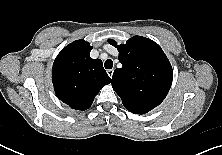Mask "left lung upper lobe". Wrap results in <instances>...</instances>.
I'll return each mask as SVG.
<instances>
[{
	"mask_svg": "<svg viewBox=\"0 0 222 155\" xmlns=\"http://www.w3.org/2000/svg\"><path fill=\"white\" fill-rule=\"evenodd\" d=\"M108 42L119 51L122 68L112 76V87L125 108L135 114H145L160 105L168 94L173 78L171 64L154 41L134 36L126 44Z\"/></svg>",
	"mask_w": 222,
	"mask_h": 155,
	"instance_id": "left-lung-upper-lobe-1",
	"label": "left lung upper lobe"
}]
</instances>
